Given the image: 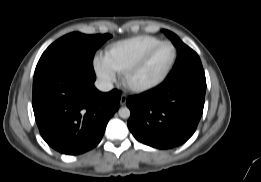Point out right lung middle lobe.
<instances>
[{"instance_id": "obj_1", "label": "right lung middle lobe", "mask_w": 261, "mask_h": 182, "mask_svg": "<svg viewBox=\"0 0 261 182\" xmlns=\"http://www.w3.org/2000/svg\"><path fill=\"white\" fill-rule=\"evenodd\" d=\"M110 37V34L85 35L79 32L67 34L45 50L36 70L65 57L76 58L85 66L93 67L92 61L96 50Z\"/></svg>"}]
</instances>
